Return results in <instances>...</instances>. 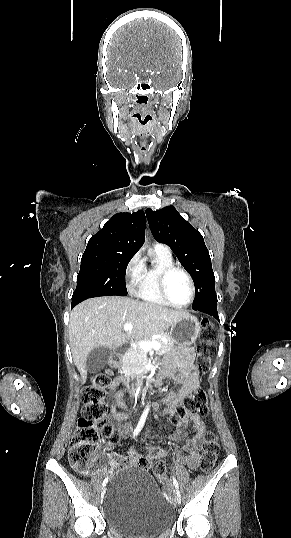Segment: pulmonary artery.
<instances>
[{
  "instance_id": "obj_1",
  "label": "pulmonary artery",
  "mask_w": 291,
  "mask_h": 538,
  "mask_svg": "<svg viewBox=\"0 0 291 538\" xmlns=\"http://www.w3.org/2000/svg\"><path fill=\"white\" fill-rule=\"evenodd\" d=\"M155 249L171 254V251H170L169 247L164 245V244H160V243L156 244Z\"/></svg>"
}]
</instances>
